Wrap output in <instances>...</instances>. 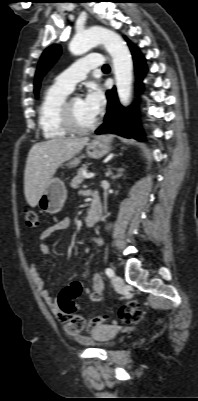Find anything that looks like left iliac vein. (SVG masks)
Segmentation results:
<instances>
[{
    "mask_svg": "<svg viewBox=\"0 0 198 401\" xmlns=\"http://www.w3.org/2000/svg\"><path fill=\"white\" fill-rule=\"evenodd\" d=\"M114 286L118 291H121L124 288V282L122 278L118 275H115L113 278Z\"/></svg>",
    "mask_w": 198,
    "mask_h": 401,
    "instance_id": "left-iliac-vein-1",
    "label": "left iliac vein"
}]
</instances>
